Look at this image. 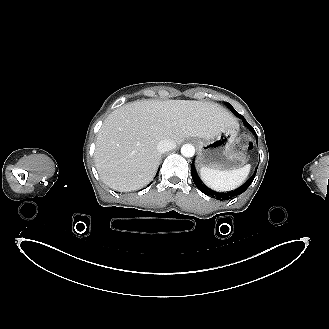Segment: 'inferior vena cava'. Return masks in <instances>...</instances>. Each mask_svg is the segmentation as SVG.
Segmentation results:
<instances>
[{
  "label": "inferior vena cava",
  "instance_id": "1",
  "mask_svg": "<svg viewBox=\"0 0 329 329\" xmlns=\"http://www.w3.org/2000/svg\"><path fill=\"white\" fill-rule=\"evenodd\" d=\"M176 147V144L171 139H163L157 144V150L160 153H164L166 151H170Z\"/></svg>",
  "mask_w": 329,
  "mask_h": 329
}]
</instances>
